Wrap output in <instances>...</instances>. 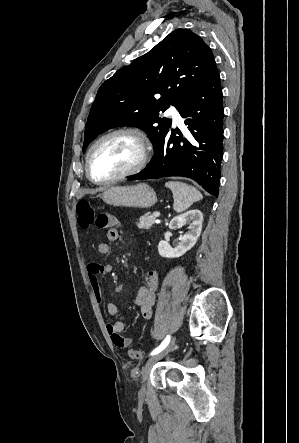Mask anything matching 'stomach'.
Masks as SVG:
<instances>
[{
  "label": "stomach",
  "instance_id": "1",
  "mask_svg": "<svg viewBox=\"0 0 299 443\" xmlns=\"http://www.w3.org/2000/svg\"><path fill=\"white\" fill-rule=\"evenodd\" d=\"M103 201L111 206L149 208L157 201L154 190L145 183L134 186H111L102 194Z\"/></svg>",
  "mask_w": 299,
  "mask_h": 443
}]
</instances>
